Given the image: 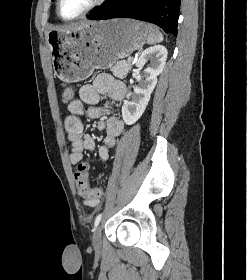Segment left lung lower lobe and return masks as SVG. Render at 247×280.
<instances>
[{"label":"left lung lower lobe","mask_w":247,"mask_h":280,"mask_svg":"<svg viewBox=\"0 0 247 280\" xmlns=\"http://www.w3.org/2000/svg\"><path fill=\"white\" fill-rule=\"evenodd\" d=\"M181 0H108L87 18L102 20L133 18L160 26L177 36Z\"/></svg>","instance_id":"1"}]
</instances>
